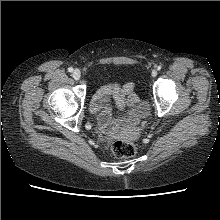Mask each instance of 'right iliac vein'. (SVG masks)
I'll list each match as a JSON object with an SVG mask.
<instances>
[{
    "label": "right iliac vein",
    "mask_w": 220,
    "mask_h": 220,
    "mask_svg": "<svg viewBox=\"0 0 220 220\" xmlns=\"http://www.w3.org/2000/svg\"><path fill=\"white\" fill-rule=\"evenodd\" d=\"M72 76L75 80H79L81 77V72L79 69H75L72 73Z\"/></svg>",
    "instance_id": "right-iliac-vein-1"
}]
</instances>
